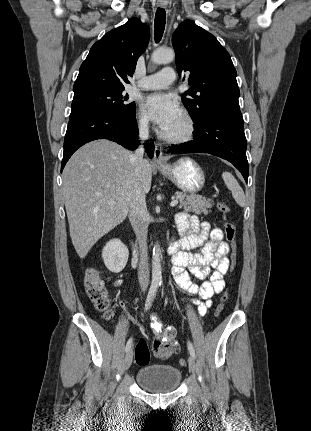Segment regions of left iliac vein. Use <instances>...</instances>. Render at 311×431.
Masks as SVG:
<instances>
[{
  "mask_svg": "<svg viewBox=\"0 0 311 431\" xmlns=\"http://www.w3.org/2000/svg\"><path fill=\"white\" fill-rule=\"evenodd\" d=\"M188 365H189V369L192 373L195 372L196 370V363H195V358L193 356H190L188 359Z\"/></svg>",
  "mask_w": 311,
  "mask_h": 431,
  "instance_id": "left-iliac-vein-1",
  "label": "left iliac vein"
}]
</instances>
